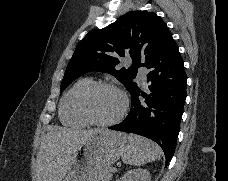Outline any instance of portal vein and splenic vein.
Here are the masks:
<instances>
[{
    "label": "portal vein and splenic vein",
    "mask_w": 228,
    "mask_h": 181,
    "mask_svg": "<svg viewBox=\"0 0 228 181\" xmlns=\"http://www.w3.org/2000/svg\"><path fill=\"white\" fill-rule=\"evenodd\" d=\"M118 166H112V174H117V172H118Z\"/></svg>",
    "instance_id": "obj_1"
}]
</instances>
